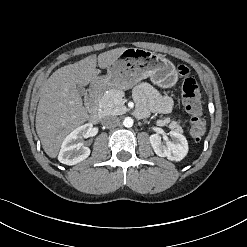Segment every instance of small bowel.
Instances as JSON below:
<instances>
[{
  "instance_id": "obj_1",
  "label": "small bowel",
  "mask_w": 247,
  "mask_h": 247,
  "mask_svg": "<svg viewBox=\"0 0 247 247\" xmlns=\"http://www.w3.org/2000/svg\"><path fill=\"white\" fill-rule=\"evenodd\" d=\"M134 98L139 116H145L149 111L169 113L173 106L169 97L161 95L148 83H141L134 89Z\"/></svg>"
}]
</instances>
